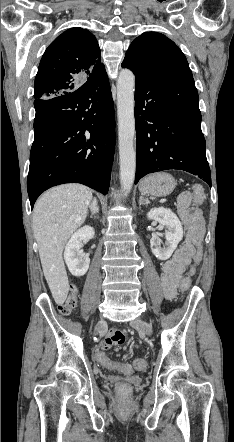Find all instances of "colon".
<instances>
[{
    "mask_svg": "<svg viewBox=\"0 0 234 442\" xmlns=\"http://www.w3.org/2000/svg\"><path fill=\"white\" fill-rule=\"evenodd\" d=\"M192 190L195 201L201 204L205 199V192L203 187L199 184H195L193 185ZM195 260L201 262L202 255L196 254ZM195 266H198V263H195ZM190 286H191L190 279L188 277H185L182 280L181 289L183 291H187L189 290ZM77 304H78V288L75 285H73L70 288V294L68 298L65 300V302L62 305L59 306V312L64 316H68L75 310ZM94 358L105 367L116 370L123 374H128L133 370V367L132 365H130L128 360H123L121 362H118L110 359L108 357V352L104 348H99L95 350ZM134 366L137 369H143L145 367V362L142 359H134ZM118 387L121 392L125 393L128 391V388L130 387V382L128 380H121L118 382Z\"/></svg>",
    "mask_w": 234,
    "mask_h": 442,
    "instance_id": "colon-1",
    "label": "colon"
}]
</instances>
